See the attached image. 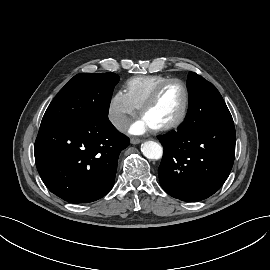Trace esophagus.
Instances as JSON below:
<instances>
[{
	"label": "esophagus",
	"mask_w": 270,
	"mask_h": 270,
	"mask_svg": "<svg viewBox=\"0 0 270 270\" xmlns=\"http://www.w3.org/2000/svg\"><path fill=\"white\" fill-rule=\"evenodd\" d=\"M130 141L132 144H139L141 142V140L139 138H131Z\"/></svg>",
	"instance_id": "1"
}]
</instances>
